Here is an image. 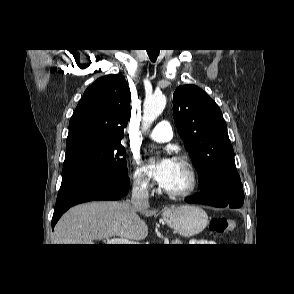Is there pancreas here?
I'll return each instance as SVG.
<instances>
[{
  "mask_svg": "<svg viewBox=\"0 0 294 294\" xmlns=\"http://www.w3.org/2000/svg\"><path fill=\"white\" fill-rule=\"evenodd\" d=\"M172 244H177V242H173Z\"/></svg>",
  "mask_w": 294,
  "mask_h": 294,
  "instance_id": "obj_1",
  "label": "pancreas"
}]
</instances>
